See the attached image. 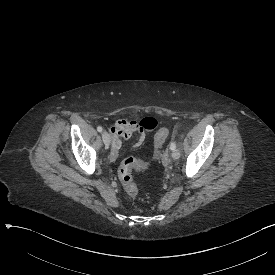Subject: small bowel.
Masks as SVG:
<instances>
[{"instance_id":"small-bowel-1","label":"small bowel","mask_w":275,"mask_h":275,"mask_svg":"<svg viewBox=\"0 0 275 275\" xmlns=\"http://www.w3.org/2000/svg\"><path fill=\"white\" fill-rule=\"evenodd\" d=\"M140 125L135 120H122L115 119L112 123L108 124V131L113 136L112 147L110 152V160L116 161L121 148V138L132 139L133 133L138 135L136 142L137 146H140L145 139L144 133L152 131L161 126L160 118H148L144 117L140 119Z\"/></svg>"}]
</instances>
